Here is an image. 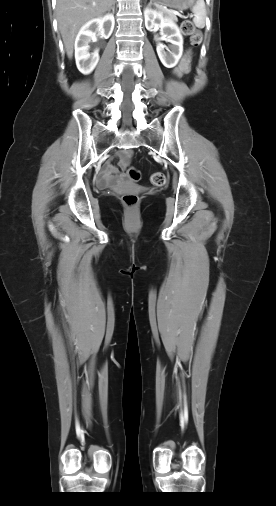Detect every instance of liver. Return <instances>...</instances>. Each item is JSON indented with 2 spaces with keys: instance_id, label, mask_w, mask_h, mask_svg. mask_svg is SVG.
<instances>
[{
  "instance_id": "6515ba94",
  "label": "liver",
  "mask_w": 276,
  "mask_h": 506,
  "mask_svg": "<svg viewBox=\"0 0 276 506\" xmlns=\"http://www.w3.org/2000/svg\"><path fill=\"white\" fill-rule=\"evenodd\" d=\"M115 0H57L58 27L68 58L73 56L75 36L82 25L109 11Z\"/></svg>"
}]
</instances>
